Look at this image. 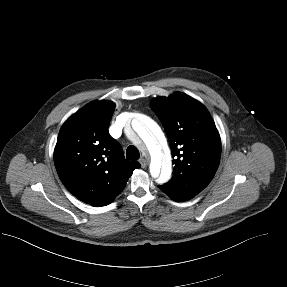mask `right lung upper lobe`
Returning a JSON list of instances; mask_svg holds the SVG:
<instances>
[{"label": "right lung upper lobe", "mask_w": 287, "mask_h": 287, "mask_svg": "<svg viewBox=\"0 0 287 287\" xmlns=\"http://www.w3.org/2000/svg\"><path fill=\"white\" fill-rule=\"evenodd\" d=\"M115 103L91 102L62 125L54 163L66 189L94 207L106 206L124 189L138 162L124 158L108 126Z\"/></svg>", "instance_id": "obj_1"}]
</instances>
